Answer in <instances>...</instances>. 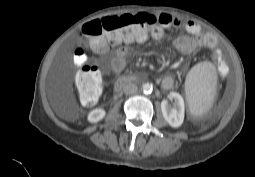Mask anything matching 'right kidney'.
<instances>
[{
    "label": "right kidney",
    "mask_w": 255,
    "mask_h": 177,
    "mask_svg": "<svg viewBox=\"0 0 255 177\" xmlns=\"http://www.w3.org/2000/svg\"><path fill=\"white\" fill-rule=\"evenodd\" d=\"M106 115V112L102 108H96L88 114V121L91 123H97L102 120Z\"/></svg>",
    "instance_id": "ca27d5eb"
}]
</instances>
